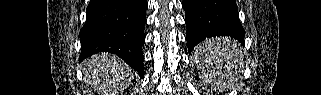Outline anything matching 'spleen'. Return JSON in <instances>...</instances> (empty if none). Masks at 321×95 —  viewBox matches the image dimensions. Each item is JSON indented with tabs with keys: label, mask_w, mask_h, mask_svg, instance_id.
<instances>
[{
	"label": "spleen",
	"mask_w": 321,
	"mask_h": 95,
	"mask_svg": "<svg viewBox=\"0 0 321 95\" xmlns=\"http://www.w3.org/2000/svg\"><path fill=\"white\" fill-rule=\"evenodd\" d=\"M194 60L208 82L218 89L233 86L244 64L238 43L227 37L203 41L194 51Z\"/></svg>",
	"instance_id": "obj_1"
}]
</instances>
